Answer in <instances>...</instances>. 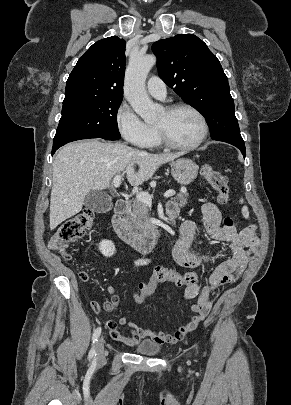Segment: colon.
<instances>
[{
  "label": "colon",
  "instance_id": "obj_1",
  "mask_svg": "<svg viewBox=\"0 0 291 405\" xmlns=\"http://www.w3.org/2000/svg\"><path fill=\"white\" fill-rule=\"evenodd\" d=\"M200 174L217 192L218 202L220 204H225L228 201L229 193L227 178L207 163L201 165ZM93 224L94 213L89 209L83 210L74 217L67 219L60 225L54 236L51 238L49 243L51 249L59 252L65 259H71V255L67 251L68 245L83 237ZM224 225L227 227H234V222L231 218L227 217L224 220ZM80 278L86 280L87 275L81 273ZM167 282L173 283L179 287H186L198 284V275L195 272L182 273L168 267L157 266L150 279L147 282L140 284L139 291L134 295L136 302H143L155 292L158 285Z\"/></svg>",
  "mask_w": 291,
  "mask_h": 405
}]
</instances>
